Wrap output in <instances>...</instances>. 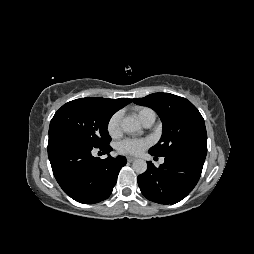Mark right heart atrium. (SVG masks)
I'll use <instances>...</instances> for the list:
<instances>
[{
	"label": "right heart atrium",
	"mask_w": 254,
	"mask_h": 254,
	"mask_svg": "<svg viewBox=\"0 0 254 254\" xmlns=\"http://www.w3.org/2000/svg\"><path fill=\"white\" fill-rule=\"evenodd\" d=\"M120 119L121 114L116 112L109 118L107 122V132L113 138L118 137L120 134Z\"/></svg>",
	"instance_id": "right-heart-atrium-1"
}]
</instances>
